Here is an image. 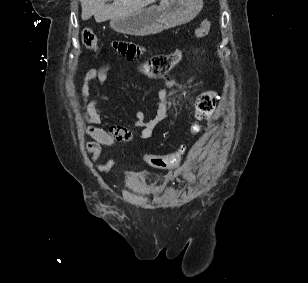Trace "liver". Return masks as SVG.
<instances>
[{"instance_id":"1","label":"liver","mask_w":308,"mask_h":283,"mask_svg":"<svg viewBox=\"0 0 308 283\" xmlns=\"http://www.w3.org/2000/svg\"><path fill=\"white\" fill-rule=\"evenodd\" d=\"M82 20H88L93 15L96 22L101 23L109 19L131 15L156 0H114L106 4L107 0H80Z\"/></svg>"}]
</instances>
